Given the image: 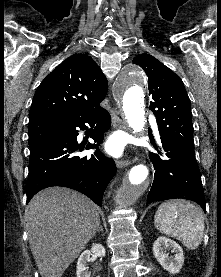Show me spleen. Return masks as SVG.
<instances>
[{"mask_svg": "<svg viewBox=\"0 0 221 277\" xmlns=\"http://www.w3.org/2000/svg\"><path fill=\"white\" fill-rule=\"evenodd\" d=\"M154 225L191 250L201 244L205 228L201 210L186 200L163 202L155 214Z\"/></svg>", "mask_w": 221, "mask_h": 277, "instance_id": "spleen-1", "label": "spleen"}]
</instances>
